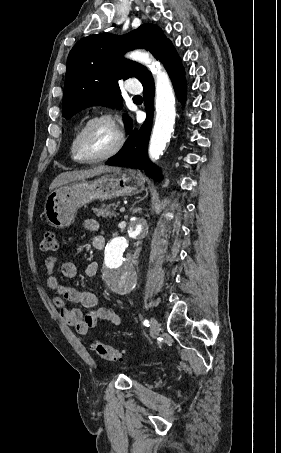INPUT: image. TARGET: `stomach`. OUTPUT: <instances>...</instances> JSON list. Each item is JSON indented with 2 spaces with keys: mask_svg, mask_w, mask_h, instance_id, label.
Returning a JSON list of instances; mask_svg holds the SVG:
<instances>
[{
  "mask_svg": "<svg viewBox=\"0 0 281 453\" xmlns=\"http://www.w3.org/2000/svg\"><path fill=\"white\" fill-rule=\"evenodd\" d=\"M144 188L141 174L136 170H111L95 180H73L54 188L46 196L44 212L54 229H65L74 222L78 208L95 198L106 200L114 196H130Z\"/></svg>",
  "mask_w": 281,
  "mask_h": 453,
  "instance_id": "0dacf381",
  "label": "stomach"
}]
</instances>
